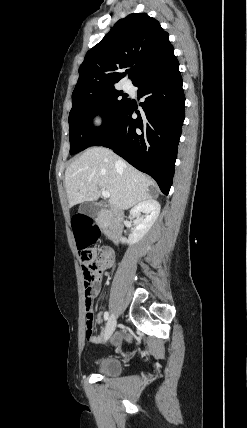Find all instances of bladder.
Listing matches in <instances>:
<instances>
[{
	"label": "bladder",
	"instance_id": "31cf9c89",
	"mask_svg": "<svg viewBox=\"0 0 247 428\" xmlns=\"http://www.w3.org/2000/svg\"><path fill=\"white\" fill-rule=\"evenodd\" d=\"M121 362L118 357L108 355L97 360L94 364V370L102 375L115 376L121 372Z\"/></svg>",
	"mask_w": 247,
	"mask_h": 428
}]
</instances>
